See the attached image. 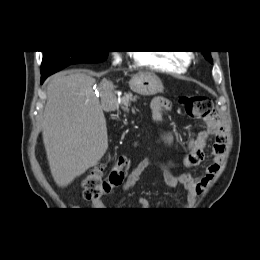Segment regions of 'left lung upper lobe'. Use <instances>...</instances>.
<instances>
[{
    "mask_svg": "<svg viewBox=\"0 0 260 260\" xmlns=\"http://www.w3.org/2000/svg\"><path fill=\"white\" fill-rule=\"evenodd\" d=\"M205 58L208 59L212 63V58L210 55V51H203Z\"/></svg>",
    "mask_w": 260,
    "mask_h": 260,
    "instance_id": "obj_1",
    "label": "left lung upper lobe"
}]
</instances>
